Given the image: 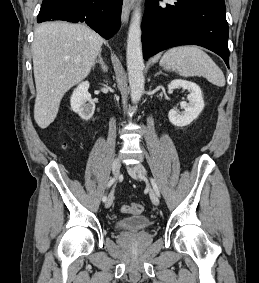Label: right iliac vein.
<instances>
[{
    "label": "right iliac vein",
    "instance_id": "right-iliac-vein-1",
    "mask_svg": "<svg viewBox=\"0 0 259 283\" xmlns=\"http://www.w3.org/2000/svg\"><path fill=\"white\" fill-rule=\"evenodd\" d=\"M120 168H121L120 160L118 158H115L112 163V172L114 177H117L119 175ZM113 200H114V196H113V192H111L106 201L105 207L109 208L112 205Z\"/></svg>",
    "mask_w": 259,
    "mask_h": 283
}]
</instances>
